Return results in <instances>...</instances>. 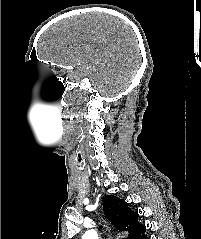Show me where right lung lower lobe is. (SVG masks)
Wrapping results in <instances>:
<instances>
[{"instance_id":"right-lung-lower-lobe-1","label":"right lung lower lobe","mask_w":201,"mask_h":239,"mask_svg":"<svg viewBox=\"0 0 201 239\" xmlns=\"http://www.w3.org/2000/svg\"><path fill=\"white\" fill-rule=\"evenodd\" d=\"M140 239H146L145 235L143 234L142 237H140Z\"/></svg>"}]
</instances>
